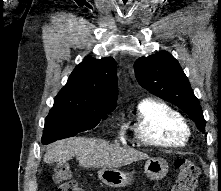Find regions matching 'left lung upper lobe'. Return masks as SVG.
Masks as SVG:
<instances>
[{
  "label": "left lung upper lobe",
  "instance_id": "obj_1",
  "mask_svg": "<svg viewBox=\"0 0 221 191\" xmlns=\"http://www.w3.org/2000/svg\"><path fill=\"white\" fill-rule=\"evenodd\" d=\"M135 76L139 84L152 94L178 106L205 132V119L199 100L178 61L167 51H161L135 61Z\"/></svg>",
  "mask_w": 221,
  "mask_h": 191
}]
</instances>
